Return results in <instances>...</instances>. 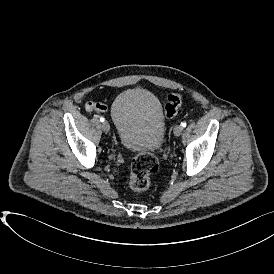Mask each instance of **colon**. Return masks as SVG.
I'll use <instances>...</instances> for the list:
<instances>
[{
    "instance_id": "5ec220e1",
    "label": "colon",
    "mask_w": 274,
    "mask_h": 274,
    "mask_svg": "<svg viewBox=\"0 0 274 274\" xmlns=\"http://www.w3.org/2000/svg\"><path fill=\"white\" fill-rule=\"evenodd\" d=\"M182 98L178 94H170L165 105V116L173 118L181 106ZM157 170V158L151 153H139L134 156L130 165L129 186L134 192H145L151 188V173Z\"/></svg>"
}]
</instances>
